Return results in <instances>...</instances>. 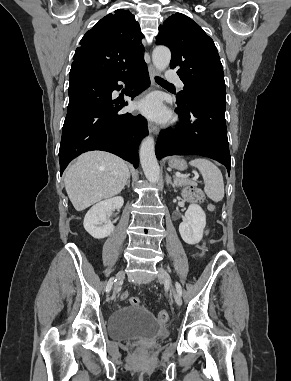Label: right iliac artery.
I'll return each mask as SVG.
<instances>
[{
    "instance_id": "right-iliac-artery-1",
    "label": "right iliac artery",
    "mask_w": 291,
    "mask_h": 381,
    "mask_svg": "<svg viewBox=\"0 0 291 381\" xmlns=\"http://www.w3.org/2000/svg\"><path fill=\"white\" fill-rule=\"evenodd\" d=\"M116 280L117 279L115 277H112V278L109 279V281L107 283L106 291H110L113 283L116 282Z\"/></svg>"
}]
</instances>
